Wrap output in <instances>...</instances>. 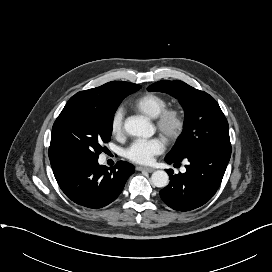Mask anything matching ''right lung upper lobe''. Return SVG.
<instances>
[{
    "label": "right lung upper lobe",
    "instance_id": "right-lung-upper-lobe-1",
    "mask_svg": "<svg viewBox=\"0 0 272 272\" xmlns=\"http://www.w3.org/2000/svg\"><path fill=\"white\" fill-rule=\"evenodd\" d=\"M134 83L112 81L100 87L78 92L72 96L63 110L75 106L103 108L122 101ZM53 171L62 164H51Z\"/></svg>",
    "mask_w": 272,
    "mask_h": 272
}]
</instances>
